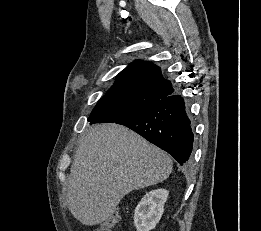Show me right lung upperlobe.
Segmentation results:
<instances>
[{"label": "right lung upper lobe", "instance_id": "cb5924a9", "mask_svg": "<svg viewBox=\"0 0 261 231\" xmlns=\"http://www.w3.org/2000/svg\"><path fill=\"white\" fill-rule=\"evenodd\" d=\"M128 87L143 89L160 99L174 92L171 82L162 77L160 68L143 60L134 61L121 71L111 90Z\"/></svg>", "mask_w": 261, "mask_h": 231}]
</instances>
